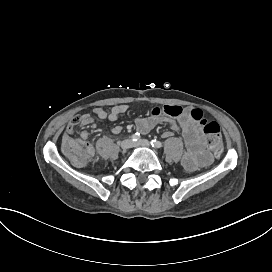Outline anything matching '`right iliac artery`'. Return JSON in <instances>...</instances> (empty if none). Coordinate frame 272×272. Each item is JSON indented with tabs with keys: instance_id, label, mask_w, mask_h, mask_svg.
Here are the masks:
<instances>
[{
	"instance_id": "right-iliac-artery-1",
	"label": "right iliac artery",
	"mask_w": 272,
	"mask_h": 272,
	"mask_svg": "<svg viewBox=\"0 0 272 272\" xmlns=\"http://www.w3.org/2000/svg\"><path fill=\"white\" fill-rule=\"evenodd\" d=\"M141 136H140V133L136 132L134 133L132 136H131V139L133 142H136L138 140H140Z\"/></svg>"
}]
</instances>
